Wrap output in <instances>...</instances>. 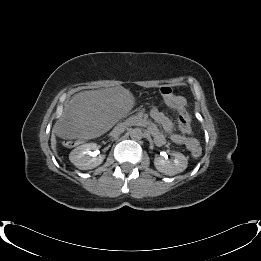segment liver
I'll list each match as a JSON object with an SVG mask.
<instances>
[{
    "mask_svg": "<svg viewBox=\"0 0 261 261\" xmlns=\"http://www.w3.org/2000/svg\"><path fill=\"white\" fill-rule=\"evenodd\" d=\"M132 106V97L123 87L81 92L73 97L53 133L62 139H92L110 130Z\"/></svg>",
    "mask_w": 261,
    "mask_h": 261,
    "instance_id": "liver-1",
    "label": "liver"
}]
</instances>
